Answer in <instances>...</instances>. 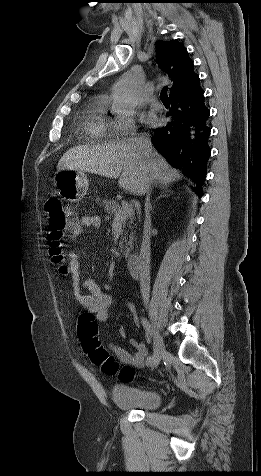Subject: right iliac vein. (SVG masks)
Returning <instances> with one entry per match:
<instances>
[{"instance_id":"right-iliac-vein-1","label":"right iliac vein","mask_w":261,"mask_h":476,"mask_svg":"<svg viewBox=\"0 0 261 476\" xmlns=\"http://www.w3.org/2000/svg\"><path fill=\"white\" fill-rule=\"evenodd\" d=\"M149 330H150L149 331L150 335L153 339V349H154V355H153L151 367L155 368L159 365L162 357H164L166 350H165V345L163 343L162 337L160 336L158 331H156L152 325H149Z\"/></svg>"}]
</instances>
